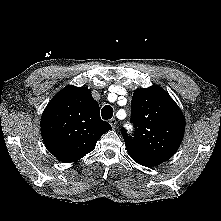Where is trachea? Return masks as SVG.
Returning <instances> with one entry per match:
<instances>
[{
	"label": "trachea",
	"instance_id": "trachea-1",
	"mask_svg": "<svg viewBox=\"0 0 221 221\" xmlns=\"http://www.w3.org/2000/svg\"><path fill=\"white\" fill-rule=\"evenodd\" d=\"M101 116L104 120H109L113 117V108L109 105H105L101 110Z\"/></svg>",
	"mask_w": 221,
	"mask_h": 221
}]
</instances>
